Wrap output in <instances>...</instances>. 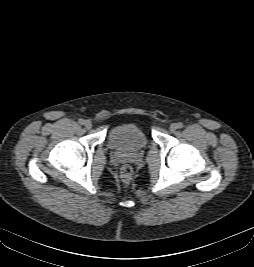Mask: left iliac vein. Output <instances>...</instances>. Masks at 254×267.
<instances>
[{"mask_svg":"<svg viewBox=\"0 0 254 267\" xmlns=\"http://www.w3.org/2000/svg\"><path fill=\"white\" fill-rule=\"evenodd\" d=\"M177 128H178V127H177V124H176V123H172V124L170 125V127H169V130H170L171 132H174V131H176Z\"/></svg>","mask_w":254,"mask_h":267,"instance_id":"1","label":"left iliac vein"}]
</instances>
